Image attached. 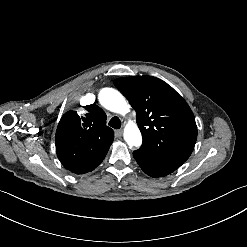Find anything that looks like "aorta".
Returning a JSON list of instances; mask_svg holds the SVG:
<instances>
[{"instance_id": "obj_1", "label": "aorta", "mask_w": 247, "mask_h": 247, "mask_svg": "<svg viewBox=\"0 0 247 247\" xmlns=\"http://www.w3.org/2000/svg\"><path fill=\"white\" fill-rule=\"evenodd\" d=\"M98 98L101 105L112 112L125 115L130 111L128 103L118 90L103 88ZM124 139L130 148L141 146L142 135L135 123H128L125 126Z\"/></svg>"}]
</instances>
